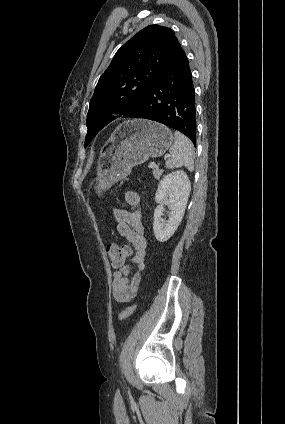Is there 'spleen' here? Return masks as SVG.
I'll list each match as a JSON object with an SVG mask.
<instances>
[{"label": "spleen", "instance_id": "obj_1", "mask_svg": "<svg viewBox=\"0 0 285 424\" xmlns=\"http://www.w3.org/2000/svg\"><path fill=\"white\" fill-rule=\"evenodd\" d=\"M171 158L166 162L168 168L185 166L194 170V147L191 141L182 133L174 132V143L170 148Z\"/></svg>", "mask_w": 285, "mask_h": 424}]
</instances>
